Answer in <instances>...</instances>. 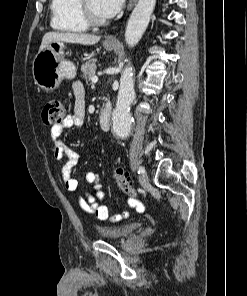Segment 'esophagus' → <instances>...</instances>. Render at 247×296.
Listing matches in <instances>:
<instances>
[{"label": "esophagus", "instance_id": "obj_1", "mask_svg": "<svg viewBox=\"0 0 247 296\" xmlns=\"http://www.w3.org/2000/svg\"><path fill=\"white\" fill-rule=\"evenodd\" d=\"M137 0H130L127 6V11H130L132 9V7L136 4ZM106 42L107 43H115L116 39L113 36H108L106 38Z\"/></svg>", "mask_w": 247, "mask_h": 296}]
</instances>
